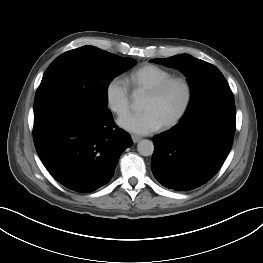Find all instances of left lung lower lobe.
<instances>
[{
	"label": "left lung lower lobe",
	"mask_w": 263,
	"mask_h": 263,
	"mask_svg": "<svg viewBox=\"0 0 263 263\" xmlns=\"http://www.w3.org/2000/svg\"><path fill=\"white\" fill-rule=\"evenodd\" d=\"M235 120L234 103H215L183 117L170 131L154 136L151 169L156 180L176 191H189L207 183L228 156Z\"/></svg>",
	"instance_id": "left-lung-lower-lobe-1"
}]
</instances>
